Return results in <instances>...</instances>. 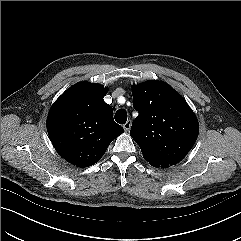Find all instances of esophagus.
Segmentation results:
<instances>
[{"label":"esophagus","instance_id":"34e87169","mask_svg":"<svg viewBox=\"0 0 241 241\" xmlns=\"http://www.w3.org/2000/svg\"><path fill=\"white\" fill-rule=\"evenodd\" d=\"M124 130L127 132L131 128V120H128L124 125H123Z\"/></svg>","mask_w":241,"mask_h":241}]
</instances>
